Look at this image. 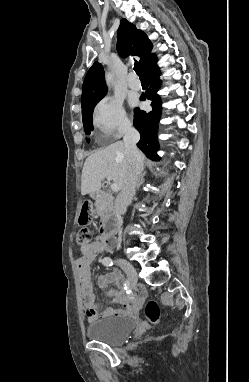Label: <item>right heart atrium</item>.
<instances>
[{"instance_id":"d8ad5b80","label":"right heart atrium","mask_w":249,"mask_h":382,"mask_svg":"<svg viewBox=\"0 0 249 382\" xmlns=\"http://www.w3.org/2000/svg\"><path fill=\"white\" fill-rule=\"evenodd\" d=\"M93 124L107 138H118L130 128V120L121 100L106 96L93 111Z\"/></svg>"}]
</instances>
